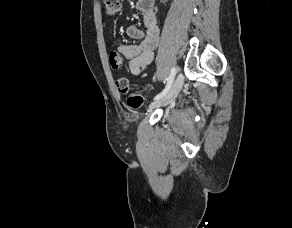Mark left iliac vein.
I'll return each instance as SVG.
<instances>
[{
    "mask_svg": "<svg viewBox=\"0 0 292 228\" xmlns=\"http://www.w3.org/2000/svg\"><path fill=\"white\" fill-rule=\"evenodd\" d=\"M183 84H184V76L182 73H180L175 79L169 92L164 97L160 98L159 100L154 101L150 105V108L154 109L163 105H167L170 102H172L181 91Z\"/></svg>",
    "mask_w": 292,
    "mask_h": 228,
    "instance_id": "obj_1",
    "label": "left iliac vein"
}]
</instances>
